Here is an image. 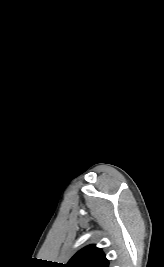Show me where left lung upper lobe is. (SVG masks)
<instances>
[{"label": "left lung upper lobe", "mask_w": 164, "mask_h": 267, "mask_svg": "<svg viewBox=\"0 0 164 267\" xmlns=\"http://www.w3.org/2000/svg\"><path fill=\"white\" fill-rule=\"evenodd\" d=\"M66 267H108V260L101 249L89 245L76 253Z\"/></svg>", "instance_id": "1"}]
</instances>
